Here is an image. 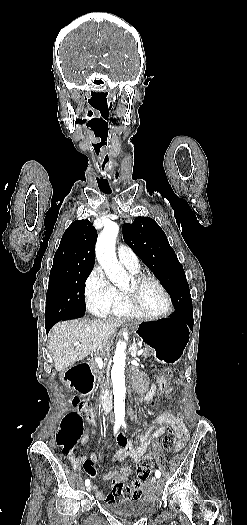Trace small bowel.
<instances>
[{
  "label": "small bowel",
  "instance_id": "small-bowel-1",
  "mask_svg": "<svg viewBox=\"0 0 247 525\" xmlns=\"http://www.w3.org/2000/svg\"><path fill=\"white\" fill-rule=\"evenodd\" d=\"M155 388L156 387L151 386L150 389L144 394L143 400L145 402H147L149 399H156L158 395L155 393ZM168 427H173L179 438L183 439L184 441L187 440V430L181 420L173 413L166 412L157 417L156 420L145 430L139 433L135 439H128L123 432H117L114 438L119 448L113 454L111 461L124 463L126 458L130 457L133 462H139L148 451L152 442L162 437ZM90 438V433H84L80 439L81 444L85 445L90 440ZM154 457L158 463L163 462V456L158 451H154ZM68 459L74 470L81 473L82 466H84L85 471L90 476H92V479H97V476L91 475L89 473V466L93 464L91 459H88L85 456L78 457L72 453L69 454ZM131 473L132 471L128 467H123L119 471L102 472V479L105 481H110L113 484V488L109 494L103 496V489L97 487L93 491L94 496L97 498L103 497L104 506H120L121 486L123 485L124 481L130 477ZM124 488L127 491H134L136 496L130 498L132 501L138 500L143 494L141 481L139 479H133L131 483H125Z\"/></svg>",
  "mask_w": 247,
  "mask_h": 525
}]
</instances>
